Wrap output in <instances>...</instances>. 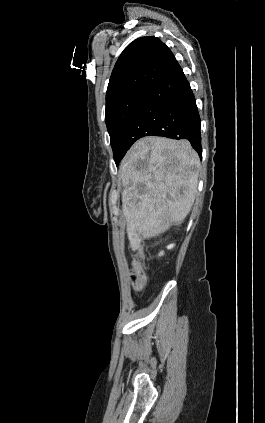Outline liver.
Masks as SVG:
<instances>
[{"mask_svg": "<svg viewBox=\"0 0 265 423\" xmlns=\"http://www.w3.org/2000/svg\"><path fill=\"white\" fill-rule=\"evenodd\" d=\"M200 159L187 140L144 137L122 159V211L133 250L141 239L180 225L189 214L198 185Z\"/></svg>", "mask_w": 265, "mask_h": 423, "instance_id": "liver-1", "label": "liver"}]
</instances>
